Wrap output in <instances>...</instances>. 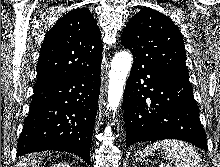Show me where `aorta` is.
I'll return each instance as SVG.
<instances>
[{"label": "aorta", "mask_w": 220, "mask_h": 167, "mask_svg": "<svg viewBox=\"0 0 220 167\" xmlns=\"http://www.w3.org/2000/svg\"><path fill=\"white\" fill-rule=\"evenodd\" d=\"M133 58L127 51H121L113 57L109 71L108 107L113 111V116L120 105L124 85L131 70Z\"/></svg>", "instance_id": "1"}]
</instances>
